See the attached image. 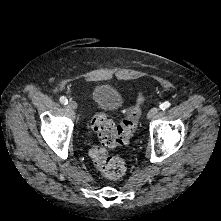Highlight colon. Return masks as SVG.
<instances>
[{
	"mask_svg": "<svg viewBox=\"0 0 221 221\" xmlns=\"http://www.w3.org/2000/svg\"><path fill=\"white\" fill-rule=\"evenodd\" d=\"M143 102L144 97L138 94L135 104L126 109L119 125H115L102 113H97L91 121V127L97 133L101 146L91 149L89 155L94 165L108 179L122 177L126 165L121 158L109 155L107 149L127 145L130 142L137 127Z\"/></svg>",
	"mask_w": 221,
	"mask_h": 221,
	"instance_id": "5ec220e1",
	"label": "colon"
}]
</instances>
